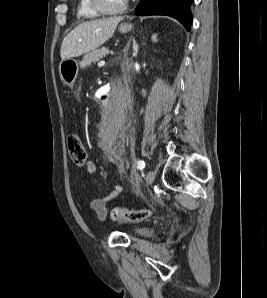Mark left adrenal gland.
Here are the masks:
<instances>
[{"instance_id":"a2214340","label":"left adrenal gland","mask_w":267,"mask_h":298,"mask_svg":"<svg viewBox=\"0 0 267 298\" xmlns=\"http://www.w3.org/2000/svg\"><path fill=\"white\" fill-rule=\"evenodd\" d=\"M130 41H131V40H130ZM130 41H129L128 45H127L126 50H128V48H129ZM132 41H133V51H134V55L137 56V53H138V50H139V46H138V44H137V42L135 41L134 38L132 39Z\"/></svg>"}]
</instances>
